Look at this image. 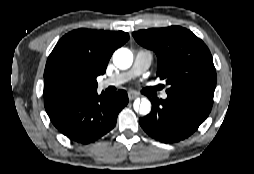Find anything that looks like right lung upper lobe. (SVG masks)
I'll use <instances>...</instances> for the list:
<instances>
[{
  "mask_svg": "<svg viewBox=\"0 0 254 174\" xmlns=\"http://www.w3.org/2000/svg\"><path fill=\"white\" fill-rule=\"evenodd\" d=\"M128 40L129 34L121 31L77 29L67 33L47 59L44 86L60 72L96 81L98 75L105 73L113 52Z\"/></svg>",
  "mask_w": 254,
  "mask_h": 174,
  "instance_id": "obj_1",
  "label": "right lung upper lobe"
}]
</instances>
